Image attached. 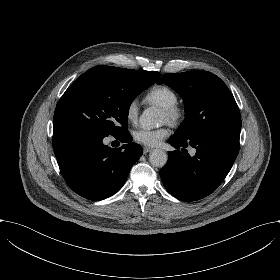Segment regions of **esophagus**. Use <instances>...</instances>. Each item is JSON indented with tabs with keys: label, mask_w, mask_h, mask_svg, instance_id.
Wrapping results in <instances>:
<instances>
[{
	"label": "esophagus",
	"mask_w": 280,
	"mask_h": 280,
	"mask_svg": "<svg viewBox=\"0 0 280 280\" xmlns=\"http://www.w3.org/2000/svg\"><path fill=\"white\" fill-rule=\"evenodd\" d=\"M150 151H152V148H150V147H144V148H143V153H144V154H147V153H149Z\"/></svg>",
	"instance_id": "34e87169"
}]
</instances>
